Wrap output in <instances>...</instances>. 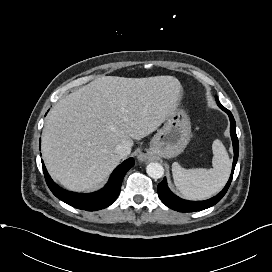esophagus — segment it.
Listing matches in <instances>:
<instances>
[{"instance_id": "1", "label": "esophagus", "mask_w": 272, "mask_h": 272, "mask_svg": "<svg viewBox=\"0 0 272 272\" xmlns=\"http://www.w3.org/2000/svg\"><path fill=\"white\" fill-rule=\"evenodd\" d=\"M138 159L141 160V161H143L144 158H143L142 155H139V156H138Z\"/></svg>"}]
</instances>
